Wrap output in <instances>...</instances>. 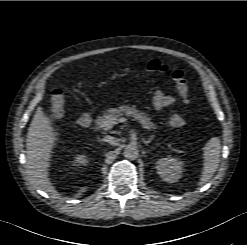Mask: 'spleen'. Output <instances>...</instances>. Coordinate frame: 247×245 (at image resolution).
<instances>
[{
	"label": "spleen",
	"instance_id": "1",
	"mask_svg": "<svg viewBox=\"0 0 247 245\" xmlns=\"http://www.w3.org/2000/svg\"><path fill=\"white\" fill-rule=\"evenodd\" d=\"M220 145V139L218 137H213L206 143L203 149V169L199 181L200 186L208 182L219 166Z\"/></svg>",
	"mask_w": 247,
	"mask_h": 245
}]
</instances>
